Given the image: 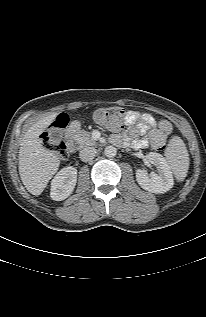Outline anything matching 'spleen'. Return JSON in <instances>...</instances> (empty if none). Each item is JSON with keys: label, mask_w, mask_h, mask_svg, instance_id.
Listing matches in <instances>:
<instances>
[{"label": "spleen", "mask_w": 206, "mask_h": 317, "mask_svg": "<svg viewBox=\"0 0 206 317\" xmlns=\"http://www.w3.org/2000/svg\"><path fill=\"white\" fill-rule=\"evenodd\" d=\"M165 157L170 169L178 181H183L189 169V154L183 140L174 136L165 150Z\"/></svg>", "instance_id": "obj_1"}]
</instances>
